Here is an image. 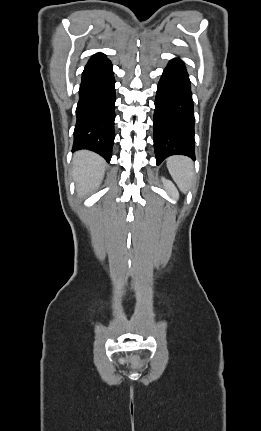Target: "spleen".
I'll use <instances>...</instances> for the list:
<instances>
[{
  "instance_id": "1",
  "label": "spleen",
  "mask_w": 261,
  "mask_h": 431,
  "mask_svg": "<svg viewBox=\"0 0 261 431\" xmlns=\"http://www.w3.org/2000/svg\"><path fill=\"white\" fill-rule=\"evenodd\" d=\"M167 168L179 189L186 192L194 179L192 161L188 157L173 156L167 159Z\"/></svg>"
}]
</instances>
